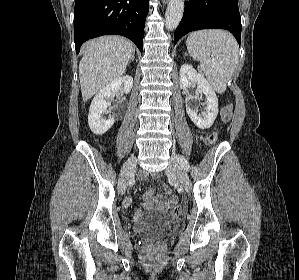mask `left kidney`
I'll return each instance as SVG.
<instances>
[{"label":"left kidney","instance_id":"obj_1","mask_svg":"<svg viewBox=\"0 0 299 280\" xmlns=\"http://www.w3.org/2000/svg\"><path fill=\"white\" fill-rule=\"evenodd\" d=\"M192 84H197V91L207 97V108L204 118L197 115L193 110L195 96L188 95L185 99L186 112L193 123L200 129H207L212 126L218 114V98L211 85L191 65L184 64L180 68V87L184 90Z\"/></svg>","mask_w":299,"mask_h":280}]
</instances>
